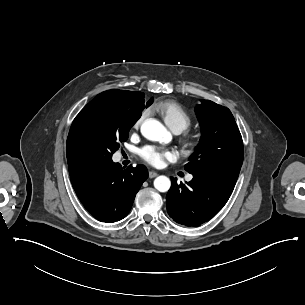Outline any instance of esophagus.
I'll use <instances>...</instances> for the list:
<instances>
[{"label": "esophagus", "mask_w": 305, "mask_h": 305, "mask_svg": "<svg viewBox=\"0 0 305 305\" xmlns=\"http://www.w3.org/2000/svg\"><path fill=\"white\" fill-rule=\"evenodd\" d=\"M158 176V174L154 171H149V178L152 179L154 177Z\"/></svg>", "instance_id": "34e87169"}]
</instances>
